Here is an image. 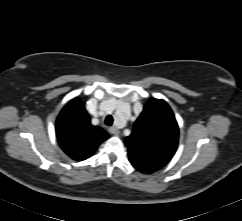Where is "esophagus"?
<instances>
[{"mask_svg":"<svg viewBox=\"0 0 242 221\" xmlns=\"http://www.w3.org/2000/svg\"><path fill=\"white\" fill-rule=\"evenodd\" d=\"M109 132L111 134H114V135H118L119 134V130L116 127H114V126L109 128Z\"/></svg>","mask_w":242,"mask_h":221,"instance_id":"1","label":"esophagus"}]
</instances>
